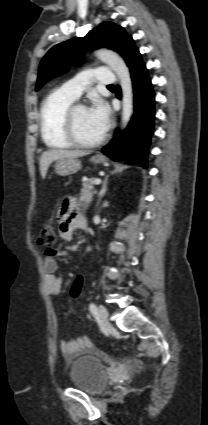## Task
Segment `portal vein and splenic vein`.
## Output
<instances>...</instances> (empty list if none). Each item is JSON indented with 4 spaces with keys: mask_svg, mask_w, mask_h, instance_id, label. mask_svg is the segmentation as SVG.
Wrapping results in <instances>:
<instances>
[{
    "mask_svg": "<svg viewBox=\"0 0 208 425\" xmlns=\"http://www.w3.org/2000/svg\"><path fill=\"white\" fill-rule=\"evenodd\" d=\"M101 183V179H96L95 181H94V184L95 185H99Z\"/></svg>",
    "mask_w": 208,
    "mask_h": 425,
    "instance_id": "1",
    "label": "portal vein and splenic vein"
}]
</instances>
